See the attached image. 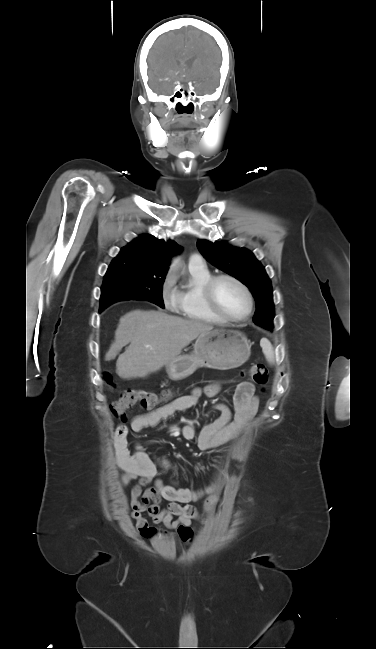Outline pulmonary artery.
I'll return each mask as SVG.
<instances>
[{"mask_svg":"<svg viewBox=\"0 0 376 649\" xmlns=\"http://www.w3.org/2000/svg\"><path fill=\"white\" fill-rule=\"evenodd\" d=\"M190 263L192 264H202L204 263V260L201 255L194 253L190 257Z\"/></svg>","mask_w":376,"mask_h":649,"instance_id":"e3ab8cb5","label":"pulmonary artery"}]
</instances>
